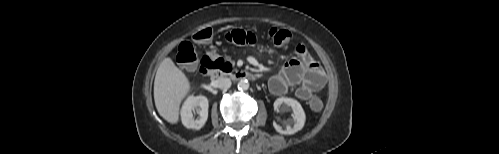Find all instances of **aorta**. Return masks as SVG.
I'll return each instance as SVG.
<instances>
[{
	"mask_svg": "<svg viewBox=\"0 0 499 154\" xmlns=\"http://www.w3.org/2000/svg\"><path fill=\"white\" fill-rule=\"evenodd\" d=\"M249 88V82L246 79H242L238 82V89L241 91L247 90Z\"/></svg>",
	"mask_w": 499,
	"mask_h": 154,
	"instance_id": "obj_1",
	"label": "aorta"
}]
</instances>
